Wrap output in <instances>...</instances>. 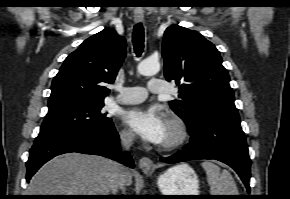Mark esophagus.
<instances>
[{
	"instance_id": "1",
	"label": "esophagus",
	"mask_w": 290,
	"mask_h": 199,
	"mask_svg": "<svg viewBox=\"0 0 290 199\" xmlns=\"http://www.w3.org/2000/svg\"><path fill=\"white\" fill-rule=\"evenodd\" d=\"M134 20L135 22L139 23L142 22L144 20V15L143 14H138L135 13L134 14ZM154 164L152 162V160L148 157H142L139 160V168L144 171V172H149L153 169Z\"/></svg>"
}]
</instances>
